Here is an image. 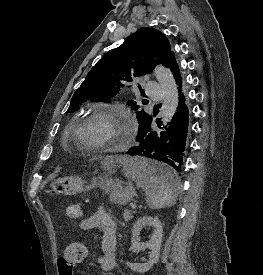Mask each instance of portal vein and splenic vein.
Instances as JSON below:
<instances>
[{"mask_svg":"<svg viewBox=\"0 0 263 275\" xmlns=\"http://www.w3.org/2000/svg\"><path fill=\"white\" fill-rule=\"evenodd\" d=\"M135 208H136V205H133V206H132V209H135Z\"/></svg>","mask_w":263,"mask_h":275,"instance_id":"18ae733b","label":"portal vein and splenic vein"}]
</instances>
